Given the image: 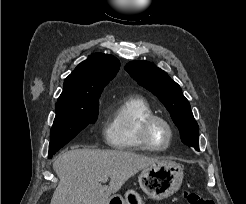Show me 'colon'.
Instances as JSON below:
<instances>
[{"instance_id": "1", "label": "colon", "mask_w": 246, "mask_h": 204, "mask_svg": "<svg viewBox=\"0 0 246 204\" xmlns=\"http://www.w3.org/2000/svg\"><path fill=\"white\" fill-rule=\"evenodd\" d=\"M184 198L187 200L188 204H214L211 199L195 190H186L184 192Z\"/></svg>"}]
</instances>
